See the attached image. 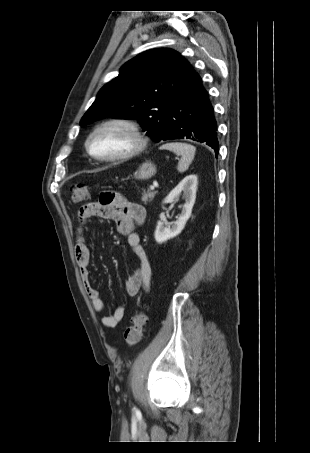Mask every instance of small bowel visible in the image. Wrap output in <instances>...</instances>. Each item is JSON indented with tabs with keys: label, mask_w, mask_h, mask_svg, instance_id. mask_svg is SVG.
<instances>
[{
	"label": "small bowel",
	"mask_w": 310,
	"mask_h": 453,
	"mask_svg": "<svg viewBox=\"0 0 310 453\" xmlns=\"http://www.w3.org/2000/svg\"><path fill=\"white\" fill-rule=\"evenodd\" d=\"M109 204H103L100 199L81 206L77 213L78 227L75 244V258L80 269L84 289L90 298L94 309L98 312L104 310V302L93 286L90 264V251L86 244L84 233L87 221L91 217H101L114 220L118 231L127 238V242L140 262L139 267L126 280L125 289L130 298L136 297L140 290L148 292L151 280V267L147 255L141 245L139 235L134 231L135 227L142 225L146 219L145 209L134 202L128 201L114 194ZM125 316V309L117 307L112 314L102 317L101 322L107 328H114L120 324Z\"/></svg>",
	"instance_id": "1"
}]
</instances>
